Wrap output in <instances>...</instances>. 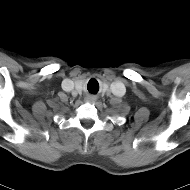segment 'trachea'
Masks as SVG:
<instances>
[{"label": "trachea", "mask_w": 190, "mask_h": 190, "mask_svg": "<svg viewBox=\"0 0 190 190\" xmlns=\"http://www.w3.org/2000/svg\"><path fill=\"white\" fill-rule=\"evenodd\" d=\"M87 89L90 93L96 94L99 90V84L95 79L89 81Z\"/></svg>", "instance_id": "3493384b"}]
</instances>
